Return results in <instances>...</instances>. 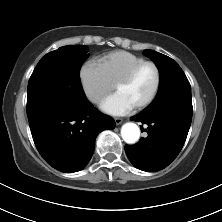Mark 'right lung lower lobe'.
<instances>
[{
	"label": "right lung lower lobe",
	"instance_id": "right-lung-lower-lobe-1",
	"mask_svg": "<svg viewBox=\"0 0 222 222\" xmlns=\"http://www.w3.org/2000/svg\"><path fill=\"white\" fill-rule=\"evenodd\" d=\"M34 143L45 161L55 169L72 173L90 161L95 139L115 121L86 100L68 108L42 106L27 110Z\"/></svg>",
	"mask_w": 222,
	"mask_h": 222
}]
</instances>
